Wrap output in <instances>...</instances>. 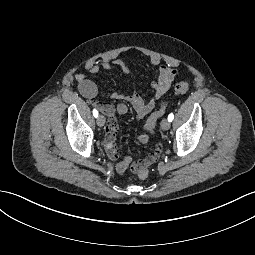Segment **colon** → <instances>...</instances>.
Wrapping results in <instances>:
<instances>
[{"label": "colon", "mask_w": 255, "mask_h": 255, "mask_svg": "<svg viewBox=\"0 0 255 255\" xmlns=\"http://www.w3.org/2000/svg\"><path fill=\"white\" fill-rule=\"evenodd\" d=\"M189 90V84L185 81H181L175 84L174 86V92L177 95H181L186 93ZM166 107H167V102L163 101L159 108L154 111L150 117L147 119L145 125H144V129L147 132H150L152 130H154L157 121L162 117V115L165 113L166 111ZM137 176L140 180H145L148 176H149V171L146 167H143L141 169H139Z\"/></svg>", "instance_id": "5ec220e1"}]
</instances>
